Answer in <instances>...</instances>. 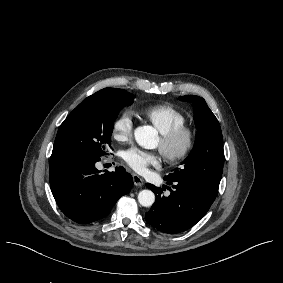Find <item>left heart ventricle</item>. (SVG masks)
<instances>
[{"label":"left heart ventricle","mask_w":283,"mask_h":283,"mask_svg":"<svg viewBox=\"0 0 283 283\" xmlns=\"http://www.w3.org/2000/svg\"><path fill=\"white\" fill-rule=\"evenodd\" d=\"M160 145H161V142L159 141V144H158V146L160 147ZM182 145V142L179 144V147Z\"/></svg>","instance_id":"left-heart-ventricle-1"}]
</instances>
